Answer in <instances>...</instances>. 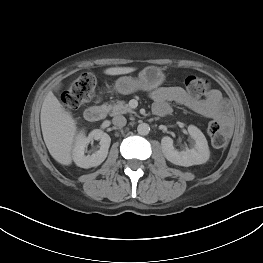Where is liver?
I'll list each match as a JSON object with an SVG mask.
<instances>
[{
	"instance_id": "obj_1",
	"label": "liver",
	"mask_w": 263,
	"mask_h": 263,
	"mask_svg": "<svg viewBox=\"0 0 263 263\" xmlns=\"http://www.w3.org/2000/svg\"><path fill=\"white\" fill-rule=\"evenodd\" d=\"M135 70L134 67H112L107 68L104 73L121 75ZM40 121L43 138L51 156L62 165H70L72 147L77 133L76 122L72 115L62 108L51 91L43 101Z\"/></svg>"
}]
</instances>
